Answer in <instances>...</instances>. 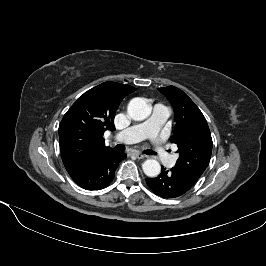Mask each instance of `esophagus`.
I'll use <instances>...</instances> for the list:
<instances>
[{"label":"esophagus","mask_w":266,"mask_h":266,"mask_svg":"<svg viewBox=\"0 0 266 266\" xmlns=\"http://www.w3.org/2000/svg\"><path fill=\"white\" fill-rule=\"evenodd\" d=\"M133 155H134L137 159H143V158H145V156H144L143 154L138 153V152H135Z\"/></svg>","instance_id":"1"}]
</instances>
